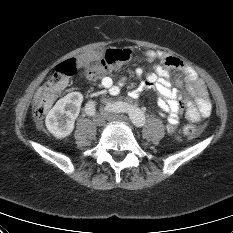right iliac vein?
I'll list each match as a JSON object with an SVG mask.
<instances>
[{
  "instance_id": "right-iliac-vein-1",
  "label": "right iliac vein",
  "mask_w": 233,
  "mask_h": 233,
  "mask_svg": "<svg viewBox=\"0 0 233 233\" xmlns=\"http://www.w3.org/2000/svg\"><path fill=\"white\" fill-rule=\"evenodd\" d=\"M105 120H106V117L101 113V114H97L95 117H94V123L101 127L105 124Z\"/></svg>"
}]
</instances>
